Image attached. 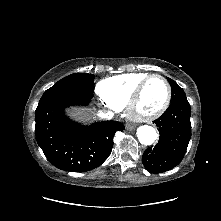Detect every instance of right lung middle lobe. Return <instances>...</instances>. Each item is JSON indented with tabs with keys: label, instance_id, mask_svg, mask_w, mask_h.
I'll return each instance as SVG.
<instances>
[{
	"label": "right lung middle lobe",
	"instance_id": "obj_1",
	"mask_svg": "<svg viewBox=\"0 0 221 221\" xmlns=\"http://www.w3.org/2000/svg\"><path fill=\"white\" fill-rule=\"evenodd\" d=\"M94 75L75 73L61 79L42 95L39 104L64 96L93 97ZM38 104V105H39Z\"/></svg>",
	"mask_w": 221,
	"mask_h": 221
}]
</instances>
